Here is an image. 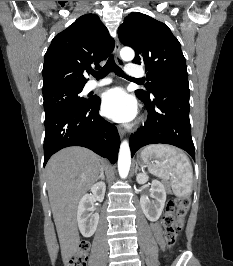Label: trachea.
<instances>
[{
	"mask_svg": "<svg viewBox=\"0 0 233 266\" xmlns=\"http://www.w3.org/2000/svg\"><path fill=\"white\" fill-rule=\"evenodd\" d=\"M113 71L116 75L120 76V77H124L127 79H131L129 78L124 72L123 70L117 66L114 62V59L112 56H110V58L108 59L107 63L105 64V66L99 70V71H92L91 74L95 77V78H103L105 77L110 71ZM135 80V79H134ZM136 80H140V79H136Z\"/></svg>",
	"mask_w": 233,
	"mask_h": 266,
	"instance_id": "obj_1",
	"label": "trachea"
}]
</instances>
